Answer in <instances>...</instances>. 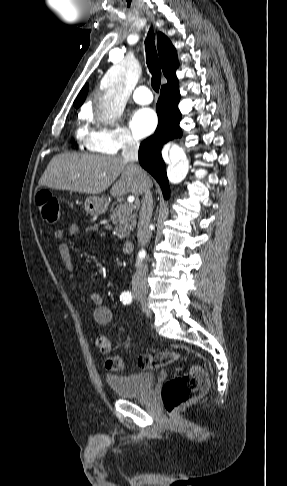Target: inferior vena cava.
Instances as JSON below:
<instances>
[{"label": "inferior vena cava", "instance_id": "obj_1", "mask_svg": "<svg viewBox=\"0 0 287 486\" xmlns=\"http://www.w3.org/2000/svg\"><path fill=\"white\" fill-rule=\"evenodd\" d=\"M139 142L135 141L130 135L125 136L124 145L122 149V157L127 162L138 161ZM139 173L143 175L142 170ZM144 196L142 198V206L139 213V223L137 231L138 246H146L151 238V231L149 229V222L152 216L153 199L150 188H145ZM147 273L148 267L145 263L141 264L140 269L134 275L132 280V288L134 290H147Z\"/></svg>", "mask_w": 287, "mask_h": 486}]
</instances>
